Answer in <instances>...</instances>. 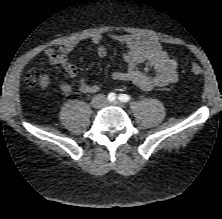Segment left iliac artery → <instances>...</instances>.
Listing matches in <instances>:
<instances>
[{"label": "left iliac artery", "mask_w": 222, "mask_h": 219, "mask_svg": "<svg viewBox=\"0 0 222 219\" xmlns=\"http://www.w3.org/2000/svg\"><path fill=\"white\" fill-rule=\"evenodd\" d=\"M118 99L121 101V102H129L130 101V96L127 95V94H120L118 96Z\"/></svg>", "instance_id": "1"}]
</instances>
